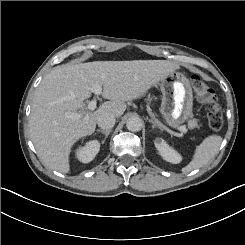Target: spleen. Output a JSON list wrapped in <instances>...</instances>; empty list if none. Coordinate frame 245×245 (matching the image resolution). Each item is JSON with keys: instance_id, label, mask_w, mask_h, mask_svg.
Segmentation results:
<instances>
[{"instance_id": "3e777b00", "label": "spleen", "mask_w": 245, "mask_h": 245, "mask_svg": "<svg viewBox=\"0 0 245 245\" xmlns=\"http://www.w3.org/2000/svg\"><path fill=\"white\" fill-rule=\"evenodd\" d=\"M221 142L222 138L217 135L205 138L203 142L196 147L192 161L186 167L182 168V172L188 173L207 164L218 151Z\"/></svg>"}]
</instances>
